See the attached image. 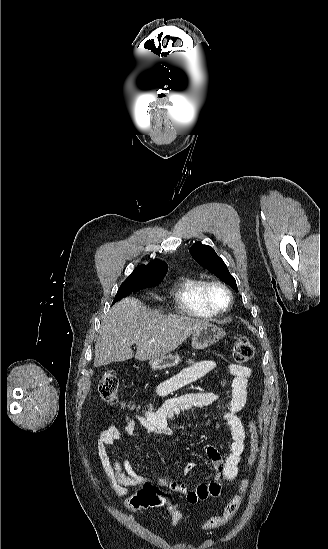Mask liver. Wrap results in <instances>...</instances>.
Masks as SVG:
<instances>
[{
	"mask_svg": "<svg viewBox=\"0 0 328 549\" xmlns=\"http://www.w3.org/2000/svg\"><path fill=\"white\" fill-rule=\"evenodd\" d=\"M208 323L198 317L161 315L138 299L126 297L113 305L101 323L94 367L132 359V345L137 347V361L157 359L175 351L194 331Z\"/></svg>",
	"mask_w": 328,
	"mask_h": 549,
	"instance_id": "1",
	"label": "liver"
}]
</instances>
